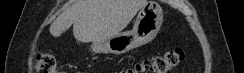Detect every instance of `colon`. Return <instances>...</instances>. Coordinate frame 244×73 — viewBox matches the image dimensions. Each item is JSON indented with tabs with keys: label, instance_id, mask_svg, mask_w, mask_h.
I'll use <instances>...</instances> for the list:
<instances>
[{
	"label": "colon",
	"instance_id": "5ec220e1",
	"mask_svg": "<svg viewBox=\"0 0 244 73\" xmlns=\"http://www.w3.org/2000/svg\"><path fill=\"white\" fill-rule=\"evenodd\" d=\"M185 57L181 48H172L149 59L138 62L121 73H170ZM35 67L39 73H57L58 66L55 57L49 53H39Z\"/></svg>",
	"mask_w": 244,
	"mask_h": 73
}]
</instances>
